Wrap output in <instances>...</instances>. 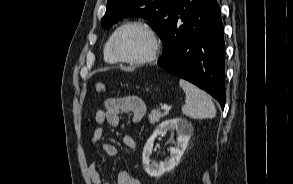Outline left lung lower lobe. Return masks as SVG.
Returning <instances> with one entry per match:
<instances>
[{"mask_svg":"<svg viewBox=\"0 0 293 184\" xmlns=\"http://www.w3.org/2000/svg\"><path fill=\"white\" fill-rule=\"evenodd\" d=\"M225 45L216 0H179L158 65L225 105Z\"/></svg>","mask_w":293,"mask_h":184,"instance_id":"0a47b994","label":"left lung lower lobe"}]
</instances>
